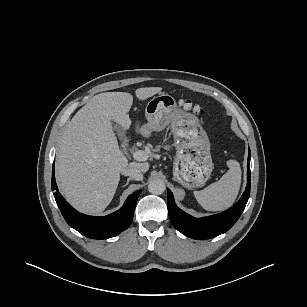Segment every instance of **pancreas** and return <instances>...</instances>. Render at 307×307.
<instances>
[{
    "instance_id": "1",
    "label": "pancreas",
    "mask_w": 307,
    "mask_h": 307,
    "mask_svg": "<svg viewBox=\"0 0 307 307\" xmlns=\"http://www.w3.org/2000/svg\"><path fill=\"white\" fill-rule=\"evenodd\" d=\"M160 147V145L158 146V148ZM163 148L164 149H166V150H169L170 149V146L169 145H165V146H163Z\"/></svg>"
}]
</instances>
